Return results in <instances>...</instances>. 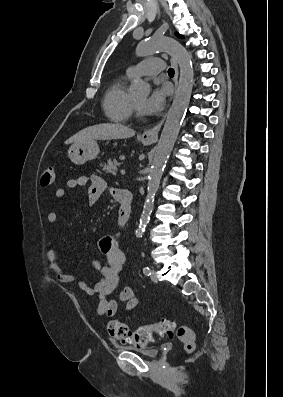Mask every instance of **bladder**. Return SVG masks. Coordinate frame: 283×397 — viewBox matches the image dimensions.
Masks as SVG:
<instances>
[{
	"instance_id": "31cf9c89",
	"label": "bladder",
	"mask_w": 283,
	"mask_h": 397,
	"mask_svg": "<svg viewBox=\"0 0 283 397\" xmlns=\"http://www.w3.org/2000/svg\"><path fill=\"white\" fill-rule=\"evenodd\" d=\"M119 348L125 351L137 353L147 358H153L159 352V350L156 347H136L133 345H124V346H119Z\"/></svg>"
}]
</instances>
